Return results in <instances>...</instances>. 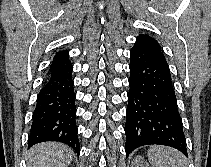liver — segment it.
Segmentation results:
<instances>
[{
	"instance_id": "1",
	"label": "liver",
	"mask_w": 211,
	"mask_h": 167,
	"mask_svg": "<svg viewBox=\"0 0 211 167\" xmlns=\"http://www.w3.org/2000/svg\"><path fill=\"white\" fill-rule=\"evenodd\" d=\"M74 151L56 142H44L33 146L27 157L28 167H68Z\"/></svg>"
}]
</instances>
